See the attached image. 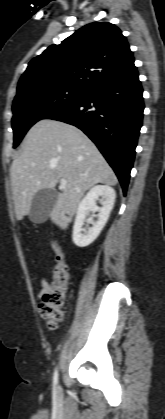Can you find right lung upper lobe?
<instances>
[{"instance_id": "1", "label": "right lung upper lobe", "mask_w": 165, "mask_h": 419, "mask_svg": "<svg viewBox=\"0 0 165 419\" xmlns=\"http://www.w3.org/2000/svg\"><path fill=\"white\" fill-rule=\"evenodd\" d=\"M133 63V53L120 29L108 22H94L32 59L14 100L56 87L88 92Z\"/></svg>"}]
</instances>
